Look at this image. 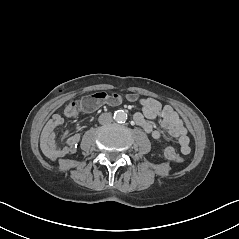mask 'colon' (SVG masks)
I'll return each mask as SVG.
<instances>
[{
    "instance_id": "5ec220e1",
    "label": "colon",
    "mask_w": 239,
    "mask_h": 239,
    "mask_svg": "<svg viewBox=\"0 0 239 239\" xmlns=\"http://www.w3.org/2000/svg\"><path fill=\"white\" fill-rule=\"evenodd\" d=\"M129 100H133L134 96L129 95ZM122 101V97L115 93H107V92H96L89 96L84 97L80 102L72 101L68 104V106L65 108V112L68 116L74 117L77 115L78 111L80 109L84 108H95L99 107L103 104H109V105H116L119 104ZM165 155L168 159L175 161V162H181L182 157L176 152L174 148H166Z\"/></svg>"
}]
</instances>
